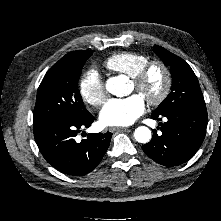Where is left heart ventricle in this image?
Returning <instances> with one entry per match:
<instances>
[{"label":"left heart ventricle","mask_w":221,"mask_h":221,"mask_svg":"<svg viewBox=\"0 0 221 221\" xmlns=\"http://www.w3.org/2000/svg\"><path fill=\"white\" fill-rule=\"evenodd\" d=\"M163 86V75L159 69H153L149 74L141 91L136 89L135 84H132L133 90L139 92L143 97L156 96L162 89Z\"/></svg>","instance_id":"1"}]
</instances>
